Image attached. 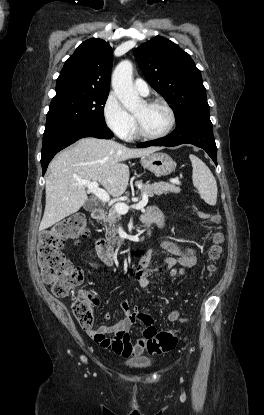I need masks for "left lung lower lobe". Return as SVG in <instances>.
Returning <instances> with one entry per match:
<instances>
[{
	"instance_id": "0a47b994",
	"label": "left lung lower lobe",
	"mask_w": 264,
	"mask_h": 415,
	"mask_svg": "<svg viewBox=\"0 0 264 415\" xmlns=\"http://www.w3.org/2000/svg\"><path fill=\"white\" fill-rule=\"evenodd\" d=\"M176 125L175 131L168 136L158 140L140 143L138 147H173L184 143L193 144L204 149L217 165V148L209 112L193 113Z\"/></svg>"
}]
</instances>
